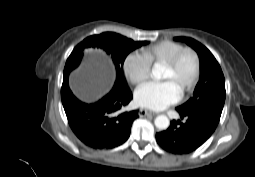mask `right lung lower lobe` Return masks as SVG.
<instances>
[{
    "instance_id": "right-lung-lower-lobe-1",
    "label": "right lung lower lobe",
    "mask_w": 255,
    "mask_h": 177,
    "mask_svg": "<svg viewBox=\"0 0 255 177\" xmlns=\"http://www.w3.org/2000/svg\"><path fill=\"white\" fill-rule=\"evenodd\" d=\"M61 99L71 129L94 149H112L123 144L130 136L132 122L138 117L137 110L120 113L131 101L132 93L118 85L100 100L85 103L72 93L65 73Z\"/></svg>"
}]
</instances>
